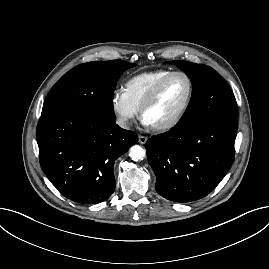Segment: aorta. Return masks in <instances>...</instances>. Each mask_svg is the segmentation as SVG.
I'll return each instance as SVG.
<instances>
[{"label":"aorta","instance_id":"762f6f07","mask_svg":"<svg viewBox=\"0 0 269 269\" xmlns=\"http://www.w3.org/2000/svg\"><path fill=\"white\" fill-rule=\"evenodd\" d=\"M145 154V150L139 145H134L130 148L129 156L133 161L144 159Z\"/></svg>","mask_w":269,"mask_h":269}]
</instances>
